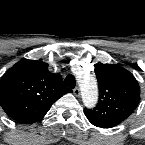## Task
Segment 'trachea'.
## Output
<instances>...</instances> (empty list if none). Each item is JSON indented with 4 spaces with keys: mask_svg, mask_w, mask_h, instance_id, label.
<instances>
[{
    "mask_svg": "<svg viewBox=\"0 0 145 145\" xmlns=\"http://www.w3.org/2000/svg\"><path fill=\"white\" fill-rule=\"evenodd\" d=\"M75 84H76V82H75L74 76L71 75V74L67 75L66 78H65V85L67 87L73 89L75 87Z\"/></svg>",
    "mask_w": 145,
    "mask_h": 145,
    "instance_id": "obj_1",
    "label": "trachea"
}]
</instances>
